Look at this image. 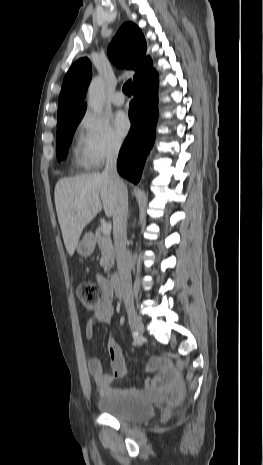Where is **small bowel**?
<instances>
[{"mask_svg": "<svg viewBox=\"0 0 263 465\" xmlns=\"http://www.w3.org/2000/svg\"><path fill=\"white\" fill-rule=\"evenodd\" d=\"M98 284L105 290L102 301L93 307L92 318L86 325V338L92 340L95 334L96 326L100 323L109 321L114 312L113 290L108 280L102 276L97 278ZM108 355L111 363V372L104 370L102 362L94 357L88 358L89 374L96 386L100 396L120 395L137 393L135 389H117L112 383L117 378H122L127 374L125 358L120 346L113 340L108 342ZM148 372L155 375L146 382L143 394L154 401L168 400L174 402L182 394V383L177 371L174 369L169 360L165 358H151L146 365Z\"/></svg>", "mask_w": 263, "mask_h": 465, "instance_id": "c3829d8e", "label": "small bowel"}]
</instances>
